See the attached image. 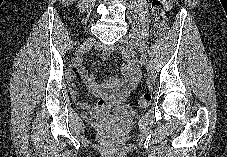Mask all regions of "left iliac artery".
I'll return each instance as SVG.
<instances>
[{
    "mask_svg": "<svg viewBox=\"0 0 227 157\" xmlns=\"http://www.w3.org/2000/svg\"><path fill=\"white\" fill-rule=\"evenodd\" d=\"M136 39L140 44V51L144 54H148L149 53V48L146 46V44L144 43V39H142L141 34H136Z\"/></svg>",
    "mask_w": 227,
    "mask_h": 157,
    "instance_id": "1",
    "label": "left iliac artery"
}]
</instances>
